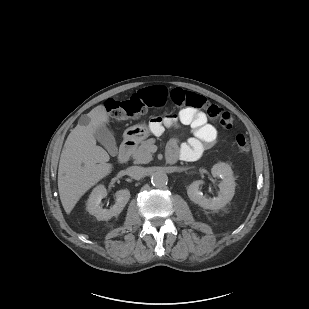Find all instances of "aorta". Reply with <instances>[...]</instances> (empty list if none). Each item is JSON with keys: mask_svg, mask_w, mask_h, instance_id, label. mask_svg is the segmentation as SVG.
Here are the masks:
<instances>
[{"mask_svg": "<svg viewBox=\"0 0 309 309\" xmlns=\"http://www.w3.org/2000/svg\"><path fill=\"white\" fill-rule=\"evenodd\" d=\"M151 182L153 186L162 188L167 185L168 176L164 172H155L152 174Z\"/></svg>", "mask_w": 309, "mask_h": 309, "instance_id": "aorta-1", "label": "aorta"}]
</instances>
